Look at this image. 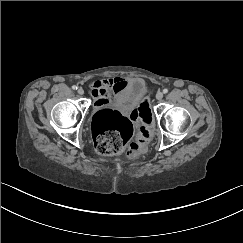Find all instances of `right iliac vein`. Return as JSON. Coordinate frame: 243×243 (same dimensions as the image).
I'll return each mask as SVG.
<instances>
[{
  "mask_svg": "<svg viewBox=\"0 0 243 243\" xmlns=\"http://www.w3.org/2000/svg\"><path fill=\"white\" fill-rule=\"evenodd\" d=\"M79 95H83L84 94V90L82 88H78L77 90Z\"/></svg>",
  "mask_w": 243,
  "mask_h": 243,
  "instance_id": "obj_1",
  "label": "right iliac vein"
}]
</instances>
